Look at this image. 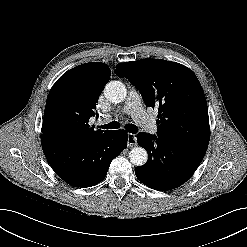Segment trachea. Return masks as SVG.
Instances as JSON below:
<instances>
[{
  "label": "trachea",
  "mask_w": 247,
  "mask_h": 247,
  "mask_svg": "<svg viewBox=\"0 0 247 247\" xmlns=\"http://www.w3.org/2000/svg\"><path fill=\"white\" fill-rule=\"evenodd\" d=\"M99 128H103V129H118L120 128V123L117 121H112L108 124L105 125H101L99 126ZM125 129L130 132V133H137L138 128L134 125V124H126L125 125Z\"/></svg>",
  "instance_id": "trachea-1"
}]
</instances>
